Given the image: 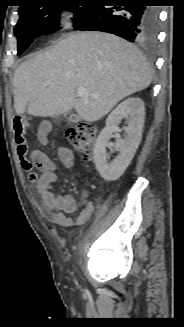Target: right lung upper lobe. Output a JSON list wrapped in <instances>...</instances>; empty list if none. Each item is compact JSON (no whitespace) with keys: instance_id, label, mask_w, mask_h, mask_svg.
<instances>
[{"instance_id":"obj_1","label":"right lung upper lobe","mask_w":184,"mask_h":327,"mask_svg":"<svg viewBox=\"0 0 184 327\" xmlns=\"http://www.w3.org/2000/svg\"><path fill=\"white\" fill-rule=\"evenodd\" d=\"M41 1L42 0H21L22 5L20 6L19 11Z\"/></svg>"}]
</instances>
